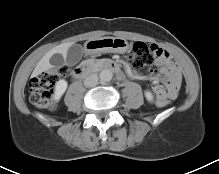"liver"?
Returning <instances> with one entry per match:
<instances>
[{
    "label": "liver",
    "instance_id": "liver-1",
    "mask_svg": "<svg viewBox=\"0 0 219 174\" xmlns=\"http://www.w3.org/2000/svg\"><path fill=\"white\" fill-rule=\"evenodd\" d=\"M72 43H64V44H60L54 48H52L50 51H48L41 59L40 61L37 63L34 71L32 72V76H38L40 75L42 72L47 71L49 69H51L53 66L50 64L49 60L50 58L56 54H62L63 57L65 58L67 55V51L68 49L71 47Z\"/></svg>",
    "mask_w": 219,
    "mask_h": 174
}]
</instances>
